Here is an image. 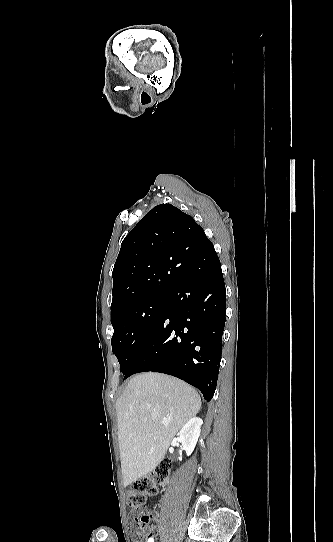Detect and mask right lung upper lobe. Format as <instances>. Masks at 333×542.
<instances>
[{
  "label": "right lung upper lobe",
  "instance_id": "right-lung-upper-lobe-1",
  "mask_svg": "<svg viewBox=\"0 0 333 542\" xmlns=\"http://www.w3.org/2000/svg\"><path fill=\"white\" fill-rule=\"evenodd\" d=\"M208 243L190 215L171 204L154 207L121 244L112 272L111 317L168 293L184 278L171 255Z\"/></svg>",
  "mask_w": 333,
  "mask_h": 542
}]
</instances>
